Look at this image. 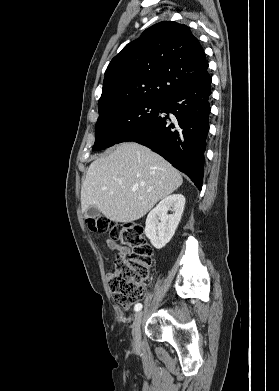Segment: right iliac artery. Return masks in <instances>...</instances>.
Wrapping results in <instances>:
<instances>
[{"mask_svg":"<svg viewBox=\"0 0 279 391\" xmlns=\"http://www.w3.org/2000/svg\"><path fill=\"white\" fill-rule=\"evenodd\" d=\"M141 309H142V304H141V303H137V304L135 305V307H134V310H135L136 312L140 311Z\"/></svg>","mask_w":279,"mask_h":391,"instance_id":"right-iliac-artery-1","label":"right iliac artery"}]
</instances>
